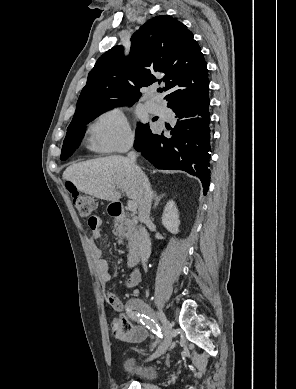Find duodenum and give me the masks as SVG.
Returning a JSON list of instances; mask_svg holds the SVG:
<instances>
[{
  "label": "duodenum",
  "instance_id": "duodenum-1",
  "mask_svg": "<svg viewBox=\"0 0 296 389\" xmlns=\"http://www.w3.org/2000/svg\"><path fill=\"white\" fill-rule=\"evenodd\" d=\"M110 214L118 220L129 223L131 227V233L129 236L130 252H129V264L136 265L139 262L146 260L150 253V244L148 240L142 236L137 224L129 221L126 218L124 209L120 203H112L110 206Z\"/></svg>",
  "mask_w": 296,
  "mask_h": 389
}]
</instances>
